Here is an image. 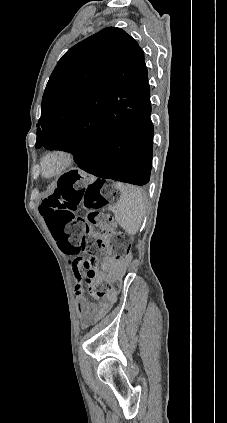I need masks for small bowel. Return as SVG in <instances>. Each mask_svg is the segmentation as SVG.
Returning a JSON list of instances; mask_svg holds the SVG:
<instances>
[{
	"label": "small bowel",
	"instance_id": "obj_1",
	"mask_svg": "<svg viewBox=\"0 0 227 423\" xmlns=\"http://www.w3.org/2000/svg\"><path fill=\"white\" fill-rule=\"evenodd\" d=\"M103 268L110 274L117 273L122 266L117 264L112 258H105ZM75 292L78 296L77 300V311L82 319V327L86 328L97 323L102 317H104L110 310L115 298L113 296L108 297L107 300L101 302L99 305L88 301L83 296V288L81 285L75 286Z\"/></svg>",
	"mask_w": 227,
	"mask_h": 423
}]
</instances>
